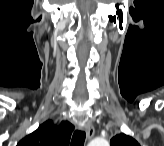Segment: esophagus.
Returning <instances> with one entry per match:
<instances>
[{"mask_svg":"<svg viewBox=\"0 0 164 146\" xmlns=\"http://www.w3.org/2000/svg\"><path fill=\"white\" fill-rule=\"evenodd\" d=\"M82 129L86 132L87 138L91 139L94 136L95 129L91 123H85Z\"/></svg>","mask_w":164,"mask_h":146,"instance_id":"34e87169","label":"esophagus"}]
</instances>
